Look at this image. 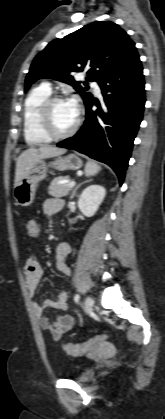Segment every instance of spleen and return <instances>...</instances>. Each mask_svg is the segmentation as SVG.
Returning <instances> with one entry per match:
<instances>
[{
    "label": "spleen",
    "mask_w": 165,
    "mask_h": 419,
    "mask_svg": "<svg viewBox=\"0 0 165 419\" xmlns=\"http://www.w3.org/2000/svg\"><path fill=\"white\" fill-rule=\"evenodd\" d=\"M101 170V167L93 161H88L85 166V174L87 177L96 175Z\"/></svg>",
    "instance_id": "spleen-1"
}]
</instances>
